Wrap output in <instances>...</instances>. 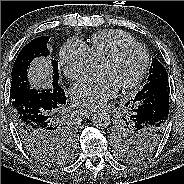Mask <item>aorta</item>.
<instances>
[{
  "label": "aorta",
  "instance_id": "aorta-1",
  "mask_svg": "<svg viewBox=\"0 0 184 184\" xmlns=\"http://www.w3.org/2000/svg\"><path fill=\"white\" fill-rule=\"evenodd\" d=\"M92 123L96 128H107L110 125V115L105 111L97 112L92 116Z\"/></svg>",
  "mask_w": 184,
  "mask_h": 184
}]
</instances>
